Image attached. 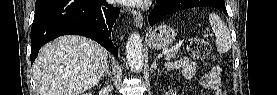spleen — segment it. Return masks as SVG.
Segmentation results:
<instances>
[{
  "label": "spleen",
  "instance_id": "3e777b00",
  "mask_svg": "<svg viewBox=\"0 0 277 95\" xmlns=\"http://www.w3.org/2000/svg\"><path fill=\"white\" fill-rule=\"evenodd\" d=\"M209 22L216 37L217 51L220 54L228 52L231 49L232 42L226 24L215 13L209 15Z\"/></svg>",
  "mask_w": 277,
  "mask_h": 95
}]
</instances>
